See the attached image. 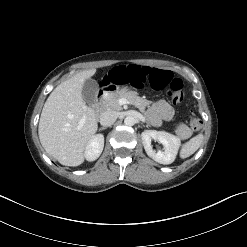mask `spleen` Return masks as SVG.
<instances>
[{
  "instance_id": "spleen-1",
  "label": "spleen",
  "mask_w": 247,
  "mask_h": 247,
  "mask_svg": "<svg viewBox=\"0 0 247 247\" xmlns=\"http://www.w3.org/2000/svg\"><path fill=\"white\" fill-rule=\"evenodd\" d=\"M204 136L203 134H198L197 136L191 138L188 142H186L180 151L181 158H187L195 153L198 148L201 146L203 142Z\"/></svg>"
}]
</instances>
